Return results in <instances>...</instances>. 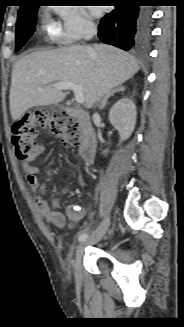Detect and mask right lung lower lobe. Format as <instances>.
I'll list each match as a JSON object with an SVG mask.
<instances>
[{
	"label": "right lung lower lobe",
	"instance_id": "right-lung-lower-lobe-1",
	"mask_svg": "<svg viewBox=\"0 0 184 327\" xmlns=\"http://www.w3.org/2000/svg\"><path fill=\"white\" fill-rule=\"evenodd\" d=\"M151 12L128 0L106 14L98 27L101 41L125 51L144 48L151 34Z\"/></svg>",
	"mask_w": 184,
	"mask_h": 327
}]
</instances>
